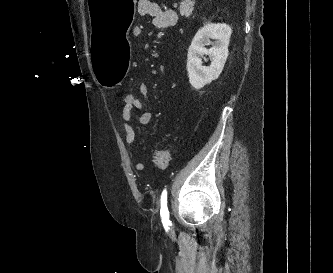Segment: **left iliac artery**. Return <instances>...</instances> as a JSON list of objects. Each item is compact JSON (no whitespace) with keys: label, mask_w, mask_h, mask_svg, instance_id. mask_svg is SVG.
I'll use <instances>...</instances> for the list:
<instances>
[{"label":"left iliac artery","mask_w":333,"mask_h":273,"mask_svg":"<svg viewBox=\"0 0 333 273\" xmlns=\"http://www.w3.org/2000/svg\"><path fill=\"white\" fill-rule=\"evenodd\" d=\"M161 209H160V216L163 225H168L171 221L169 220V210L167 206V190L164 189L161 194L160 199Z\"/></svg>","instance_id":"obj_1"}]
</instances>
